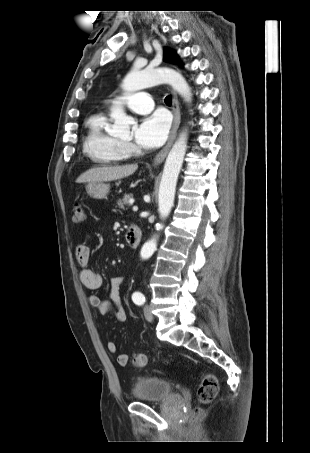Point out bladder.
Segmentation results:
<instances>
[{
    "mask_svg": "<svg viewBox=\"0 0 310 453\" xmlns=\"http://www.w3.org/2000/svg\"><path fill=\"white\" fill-rule=\"evenodd\" d=\"M132 396L140 402H156L172 397L175 392L173 385L166 379L157 376L138 378L132 387Z\"/></svg>",
    "mask_w": 310,
    "mask_h": 453,
    "instance_id": "bladder-1",
    "label": "bladder"
}]
</instances>
